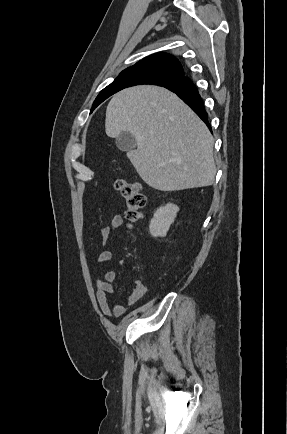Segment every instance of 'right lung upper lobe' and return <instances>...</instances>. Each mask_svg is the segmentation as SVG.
<instances>
[{"label": "right lung upper lobe", "mask_w": 287, "mask_h": 434, "mask_svg": "<svg viewBox=\"0 0 287 434\" xmlns=\"http://www.w3.org/2000/svg\"><path fill=\"white\" fill-rule=\"evenodd\" d=\"M138 68H152V69L165 70L177 76V79L175 80L163 81L155 84L159 86H167L169 84L178 82L185 78L183 68L179 63V61L174 56L167 53L153 54L145 59L140 60L135 65L125 69L124 71L138 69Z\"/></svg>", "instance_id": "1"}]
</instances>
